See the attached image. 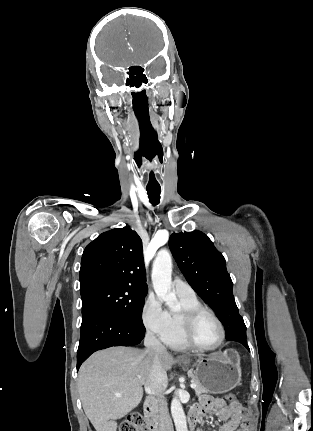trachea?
Wrapping results in <instances>:
<instances>
[{"mask_svg": "<svg viewBox=\"0 0 313 431\" xmlns=\"http://www.w3.org/2000/svg\"><path fill=\"white\" fill-rule=\"evenodd\" d=\"M149 201L152 205H158L160 202L161 189L159 187H146Z\"/></svg>", "mask_w": 313, "mask_h": 431, "instance_id": "1", "label": "trachea"}]
</instances>
